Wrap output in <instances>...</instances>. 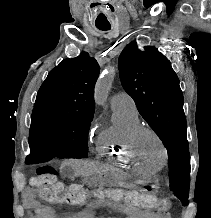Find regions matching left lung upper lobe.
Instances as JSON below:
<instances>
[{
    "mask_svg": "<svg viewBox=\"0 0 211 218\" xmlns=\"http://www.w3.org/2000/svg\"><path fill=\"white\" fill-rule=\"evenodd\" d=\"M119 72L123 88L167 148L170 190L186 202L190 184L186 118L170 61L154 47L140 51L131 42L119 57Z\"/></svg>",
    "mask_w": 211,
    "mask_h": 218,
    "instance_id": "obj_1",
    "label": "left lung upper lobe"
}]
</instances>
